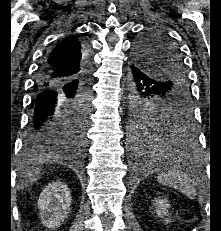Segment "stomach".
<instances>
[{"mask_svg": "<svg viewBox=\"0 0 221 231\" xmlns=\"http://www.w3.org/2000/svg\"><path fill=\"white\" fill-rule=\"evenodd\" d=\"M158 156V155H157ZM160 156V155H159ZM157 159H161V157H158Z\"/></svg>", "mask_w": 221, "mask_h": 231, "instance_id": "1", "label": "stomach"}]
</instances>
